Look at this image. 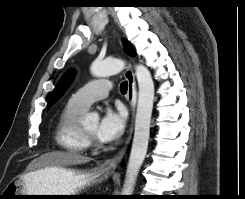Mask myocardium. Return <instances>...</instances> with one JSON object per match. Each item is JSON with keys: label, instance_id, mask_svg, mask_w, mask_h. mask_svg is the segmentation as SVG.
I'll return each instance as SVG.
<instances>
[{"label": "myocardium", "instance_id": "myocardium-1", "mask_svg": "<svg viewBox=\"0 0 245 199\" xmlns=\"http://www.w3.org/2000/svg\"><path fill=\"white\" fill-rule=\"evenodd\" d=\"M81 132L82 135L85 139V141L87 142L89 147H96L98 146V140L96 139V137L90 135L84 128L83 126H81Z\"/></svg>", "mask_w": 245, "mask_h": 199}]
</instances>
